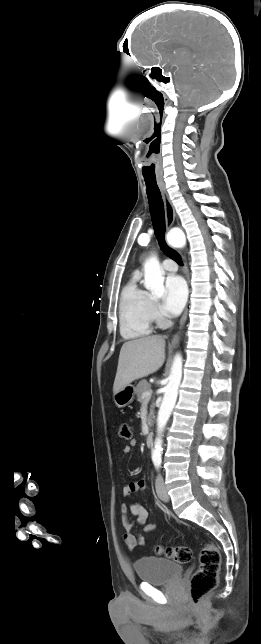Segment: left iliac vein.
I'll return each instance as SVG.
<instances>
[{"instance_id":"left-iliac-vein-1","label":"left iliac vein","mask_w":261,"mask_h":644,"mask_svg":"<svg viewBox=\"0 0 261 644\" xmlns=\"http://www.w3.org/2000/svg\"><path fill=\"white\" fill-rule=\"evenodd\" d=\"M155 486H156V492H157L158 497L162 501L167 502L169 500V495L167 493V489H166V486L164 484V480H163L161 475L157 476Z\"/></svg>"}]
</instances>
